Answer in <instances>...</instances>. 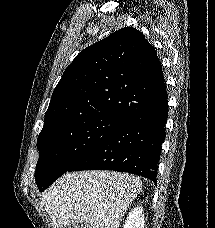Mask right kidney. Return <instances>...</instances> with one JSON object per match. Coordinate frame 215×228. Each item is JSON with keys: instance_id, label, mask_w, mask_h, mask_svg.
Here are the masks:
<instances>
[{"instance_id": "obj_1", "label": "right kidney", "mask_w": 215, "mask_h": 228, "mask_svg": "<svg viewBox=\"0 0 215 228\" xmlns=\"http://www.w3.org/2000/svg\"><path fill=\"white\" fill-rule=\"evenodd\" d=\"M145 218L143 214L142 206H137L133 208L130 214H128L123 228H144Z\"/></svg>"}]
</instances>
